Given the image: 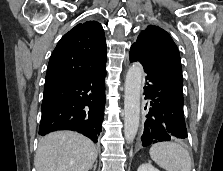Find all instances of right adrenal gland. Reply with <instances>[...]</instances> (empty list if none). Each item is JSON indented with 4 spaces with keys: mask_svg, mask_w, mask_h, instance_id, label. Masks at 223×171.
<instances>
[{
    "mask_svg": "<svg viewBox=\"0 0 223 171\" xmlns=\"http://www.w3.org/2000/svg\"><path fill=\"white\" fill-rule=\"evenodd\" d=\"M96 167H97V160H96L95 164L91 167V169H93V171H95Z\"/></svg>",
    "mask_w": 223,
    "mask_h": 171,
    "instance_id": "right-adrenal-gland-1",
    "label": "right adrenal gland"
}]
</instances>
